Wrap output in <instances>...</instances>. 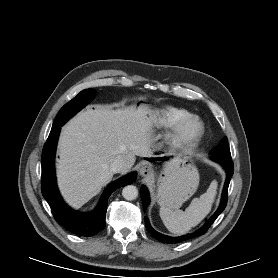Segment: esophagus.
Listing matches in <instances>:
<instances>
[{
    "instance_id": "1",
    "label": "esophagus",
    "mask_w": 278,
    "mask_h": 278,
    "mask_svg": "<svg viewBox=\"0 0 278 278\" xmlns=\"http://www.w3.org/2000/svg\"><path fill=\"white\" fill-rule=\"evenodd\" d=\"M139 174L142 176V177H145V178H148V177H151L152 174H153V170L150 166L148 165H142L139 169Z\"/></svg>"
}]
</instances>
